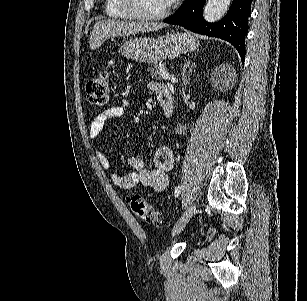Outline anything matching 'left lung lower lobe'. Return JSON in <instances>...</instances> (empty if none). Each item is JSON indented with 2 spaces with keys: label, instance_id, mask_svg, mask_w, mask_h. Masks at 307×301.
Here are the masks:
<instances>
[{
  "label": "left lung lower lobe",
  "instance_id": "1",
  "mask_svg": "<svg viewBox=\"0 0 307 301\" xmlns=\"http://www.w3.org/2000/svg\"><path fill=\"white\" fill-rule=\"evenodd\" d=\"M251 1L233 0L229 11L221 21L209 23L204 20L202 13L206 0H185L183 5L164 22L182 26L195 33L226 40L238 50L244 61Z\"/></svg>",
  "mask_w": 307,
  "mask_h": 301
}]
</instances>
